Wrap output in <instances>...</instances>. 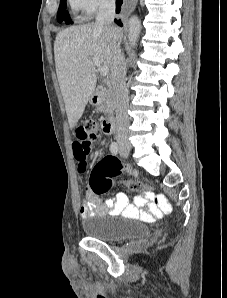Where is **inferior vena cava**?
<instances>
[{
	"label": "inferior vena cava",
	"instance_id": "inferior-vena-cava-1",
	"mask_svg": "<svg viewBox=\"0 0 227 298\" xmlns=\"http://www.w3.org/2000/svg\"><path fill=\"white\" fill-rule=\"evenodd\" d=\"M115 18V0H102L96 15L95 24L106 30L111 29ZM127 63L120 48V43L114 47L113 64L111 67V83L116 102V140L127 142L129 117L127 114L129 106L128 88L126 86Z\"/></svg>",
	"mask_w": 227,
	"mask_h": 298
}]
</instances>
